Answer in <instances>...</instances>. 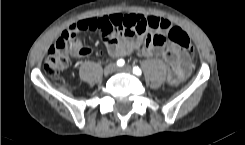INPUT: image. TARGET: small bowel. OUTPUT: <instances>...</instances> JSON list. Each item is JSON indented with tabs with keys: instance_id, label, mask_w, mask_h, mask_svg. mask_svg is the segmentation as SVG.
<instances>
[{
	"instance_id": "c3829d8e",
	"label": "small bowel",
	"mask_w": 245,
	"mask_h": 145,
	"mask_svg": "<svg viewBox=\"0 0 245 145\" xmlns=\"http://www.w3.org/2000/svg\"><path fill=\"white\" fill-rule=\"evenodd\" d=\"M73 27L77 31L88 29L102 33L108 52L114 57L127 56L139 49L144 42L141 51L143 56L160 55L170 65L167 79L171 85L180 84L191 70L192 57L185 49L176 45L166 47L156 44L155 36L163 34L171 27L170 22L164 18L140 13L111 14L80 21ZM117 34H121L120 39H117ZM144 36L146 39H143ZM72 46L85 49L82 57L93 53L91 48L82 45L78 40L74 39Z\"/></svg>"
}]
</instances>
